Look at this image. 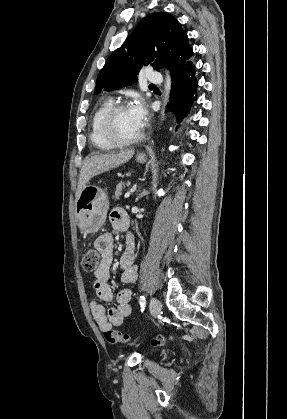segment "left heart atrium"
Here are the masks:
<instances>
[{
    "mask_svg": "<svg viewBox=\"0 0 287 419\" xmlns=\"http://www.w3.org/2000/svg\"><path fill=\"white\" fill-rule=\"evenodd\" d=\"M129 110L137 123L143 127L147 118V109L144 101L139 97L135 98L130 105Z\"/></svg>",
    "mask_w": 287,
    "mask_h": 419,
    "instance_id": "39dd6f15",
    "label": "left heart atrium"
}]
</instances>
